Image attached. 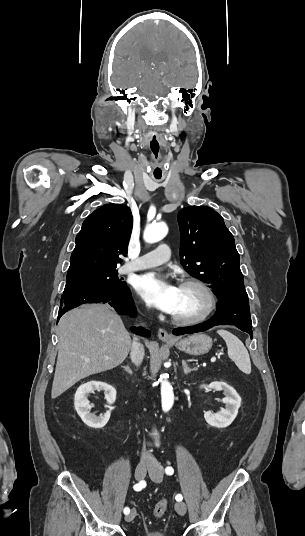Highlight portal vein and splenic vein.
<instances>
[{"label":"portal vein and splenic vein","instance_id":"18ae733b","mask_svg":"<svg viewBox=\"0 0 305 536\" xmlns=\"http://www.w3.org/2000/svg\"><path fill=\"white\" fill-rule=\"evenodd\" d=\"M211 362H216V358H211Z\"/></svg>","mask_w":305,"mask_h":536}]
</instances>
